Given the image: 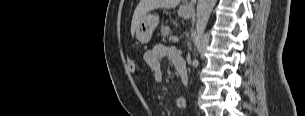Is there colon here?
I'll return each instance as SVG.
<instances>
[{"label":"colon","instance_id":"obj_1","mask_svg":"<svg viewBox=\"0 0 305 116\" xmlns=\"http://www.w3.org/2000/svg\"><path fill=\"white\" fill-rule=\"evenodd\" d=\"M127 64H128V68H129L130 72L135 73L136 72L135 62L131 58H129L127 61Z\"/></svg>","mask_w":305,"mask_h":116}]
</instances>
